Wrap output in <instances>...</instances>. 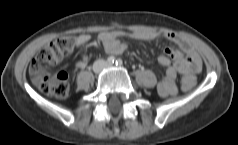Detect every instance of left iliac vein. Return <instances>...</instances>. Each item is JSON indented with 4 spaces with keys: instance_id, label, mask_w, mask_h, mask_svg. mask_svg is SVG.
<instances>
[{
    "instance_id": "left-iliac-vein-1",
    "label": "left iliac vein",
    "mask_w": 238,
    "mask_h": 145,
    "mask_svg": "<svg viewBox=\"0 0 238 145\" xmlns=\"http://www.w3.org/2000/svg\"><path fill=\"white\" fill-rule=\"evenodd\" d=\"M105 67H106V68H110V67H112V64L106 63V64H105Z\"/></svg>"
}]
</instances>
